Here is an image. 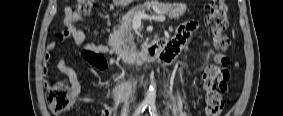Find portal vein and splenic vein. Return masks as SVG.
Segmentation results:
<instances>
[{
	"label": "portal vein and splenic vein",
	"mask_w": 283,
	"mask_h": 116,
	"mask_svg": "<svg viewBox=\"0 0 283 116\" xmlns=\"http://www.w3.org/2000/svg\"><path fill=\"white\" fill-rule=\"evenodd\" d=\"M134 18L135 20L145 19V20H150V21L154 20L159 22H164L166 20L164 15L150 16L145 13H137Z\"/></svg>",
	"instance_id": "1"
}]
</instances>
